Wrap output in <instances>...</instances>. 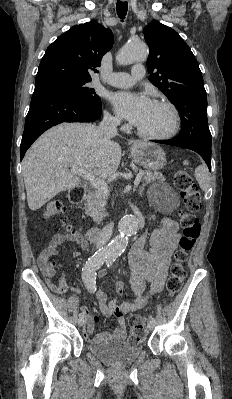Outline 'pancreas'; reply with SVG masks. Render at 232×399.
Segmentation results:
<instances>
[{
	"mask_svg": "<svg viewBox=\"0 0 232 399\" xmlns=\"http://www.w3.org/2000/svg\"><path fill=\"white\" fill-rule=\"evenodd\" d=\"M140 172H143V186L150 184V182H155V180H165L160 172H149V170H140ZM106 200H108L107 194H103V192L95 188L94 192L87 196L85 213L91 215L93 221L99 223V221H102V217H105Z\"/></svg>",
	"mask_w": 232,
	"mask_h": 399,
	"instance_id": "obj_1",
	"label": "pancreas"
}]
</instances>
